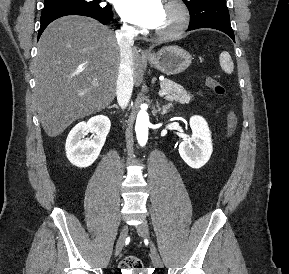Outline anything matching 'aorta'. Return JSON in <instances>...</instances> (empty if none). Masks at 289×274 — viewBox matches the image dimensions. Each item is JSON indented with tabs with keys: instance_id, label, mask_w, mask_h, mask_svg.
I'll use <instances>...</instances> for the list:
<instances>
[{
	"instance_id": "762f6f07",
	"label": "aorta",
	"mask_w": 289,
	"mask_h": 274,
	"mask_svg": "<svg viewBox=\"0 0 289 274\" xmlns=\"http://www.w3.org/2000/svg\"><path fill=\"white\" fill-rule=\"evenodd\" d=\"M149 116L145 109H141L137 115L135 131L140 146H145L148 140Z\"/></svg>"
}]
</instances>
